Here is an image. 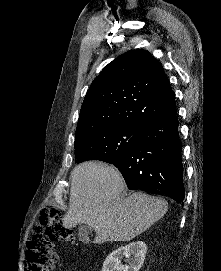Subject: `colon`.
Returning <instances> with one entry per match:
<instances>
[{"mask_svg":"<svg viewBox=\"0 0 221 271\" xmlns=\"http://www.w3.org/2000/svg\"><path fill=\"white\" fill-rule=\"evenodd\" d=\"M77 237L78 233L64 224L59 208L45 207L40 214V224L27 243L24 271H53L58 260L54 241H71Z\"/></svg>","mask_w":221,"mask_h":271,"instance_id":"1","label":"colon"}]
</instances>
